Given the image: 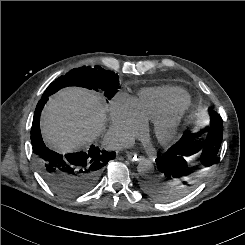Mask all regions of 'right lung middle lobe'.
<instances>
[{
	"label": "right lung middle lobe",
	"instance_id": "1",
	"mask_svg": "<svg viewBox=\"0 0 245 245\" xmlns=\"http://www.w3.org/2000/svg\"><path fill=\"white\" fill-rule=\"evenodd\" d=\"M67 86H80L96 91L100 90L107 99H110L119 86V80L117 74L100 67L76 68L52 82L42 97L52 95Z\"/></svg>",
	"mask_w": 245,
	"mask_h": 245
}]
</instances>
